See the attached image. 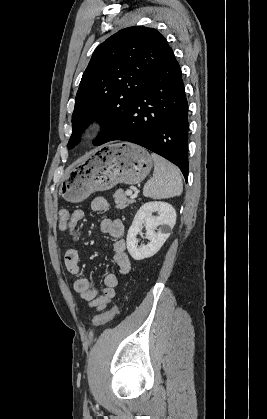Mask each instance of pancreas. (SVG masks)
<instances>
[{"mask_svg":"<svg viewBox=\"0 0 267 419\" xmlns=\"http://www.w3.org/2000/svg\"><path fill=\"white\" fill-rule=\"evenodd\" d=\"M114 202L116 204V208L121 210L127 207L129 204L134 203L135 200L127 198L126 193H124L122 189H119L114 194Z\"/></svg>","mask_w":267,"mask_h":419,"instance_id":"1","label":"pancreas"}]
</instances>
